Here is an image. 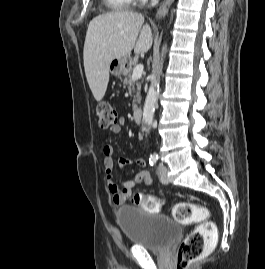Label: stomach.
Listing matches in <instances>:
<instances>
[{
    "label": "stomach",
    "instance_id": "obj_1",
    "mask_svg": "<svg viewBox=\"0 0 265 269\" xmlns=\"http://www.w3.org/2000/svg\"><path fill=\"white\" fill-rule=\"evenodd\" d=\"M131 61L129 57L113 59L109 64V72L117 77L126 75L130 70Z\"/></svg>",
    "mask_w": 265,
    "mask_h": 269
}]
</instances>
